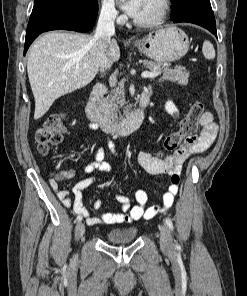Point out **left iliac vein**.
Listing matches in <instances>:
<instances>
[{
	"instance_id": "obj_1",
	"label": "left iliac vein",
	"mask_w": 247,
	"mask_h": 296,
	"mask_svg": "<svg viewBox=\"0 0 247 296\" xmlns=\"http://www.w3.org/2000/svg\"><path fill=\"white\" fill-rule=\"evenodd\" d=\"M160 230V246L165 251H172L173 250V239L169 228L161 224L159 226Z\"/></svg>"
}]
</instances>
